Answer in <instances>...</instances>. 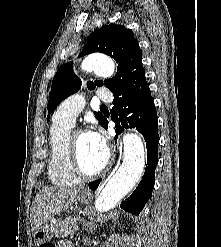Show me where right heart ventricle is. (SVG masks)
<instances>
[{
	"label": "right heart ventricle",
	"instance_id": "1",
	"mask_svg": "<svg viewBox=\"0 0 221 247\" xmlns=\"http://www.w3.org/2000/svg\"><path fill=\"white\" fill-rule=\"evenodd\" d=\"M70 128L71 125L54 118L50 129L47 173L49 180L57 186H75L80 182L70 159Z\"/></svg>",
	"mask_w": 221,
	"mask_h": 247
}]
</instances>
